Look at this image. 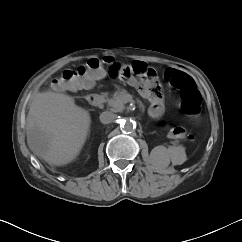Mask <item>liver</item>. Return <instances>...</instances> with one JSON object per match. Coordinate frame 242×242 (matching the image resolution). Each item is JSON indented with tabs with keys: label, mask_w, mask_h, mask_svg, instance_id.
Returning a JSON list of instances; mask_svg holds the SVG:
<instances>
[{
	"label": "liver",
	"mask_w": 242,
	"mask_h": 242,
	"mask_svg": "<svg viewBox=\"0 0 242 242\" xmlns=\"http://www.w3.org/2000/svg\"><path fill=\"white\" fill-rule=\"evenodd\" d=\"M91 118L87 110L63 93L37 92L26 118L30 150L50 165L73 161L82 150Z\"/></svg>",
	"instance_id": "1"
}]
</instances>
